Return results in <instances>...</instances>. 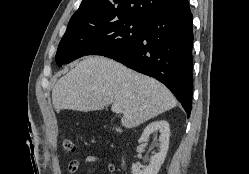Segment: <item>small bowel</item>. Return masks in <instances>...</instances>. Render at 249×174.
<instances>
[{
    "instance_id": "obj_1",
    "label": "small bowel",
    "mask_w": 249,
    "mask_h": 174,
    "mask_svg": "<svg viewBox=\"0 0 249 174\" xmlns=\"http://www.w3.org/2000/svg\"><path fill=\"white\" fill-rule=\"evenodd\" d=\"M81 163L84 164H105L107 170L110 174H113L115 171V166L107 162L103 157L98 155H88L84 157L82 160L74 159L71 160L68 164V174H77L80 168Z\"/></svg>"
}]
</instances>
